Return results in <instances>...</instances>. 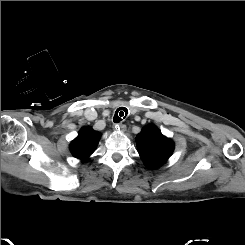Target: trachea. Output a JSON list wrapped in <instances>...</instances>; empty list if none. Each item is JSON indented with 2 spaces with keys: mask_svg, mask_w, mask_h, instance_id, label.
I'll use <instances>...</instances> for the list:
<instances>
[{
  "mask_svg": "<svg viewBox=\"0 0 245 245\" xmlns=\"http://www.w3.org/2000/svg\"><path fill=\"white\" fill-rule=\"evenodd\" d=\"M128 115V110L125 107H120L116 110L115 115L113 117V121L115 123H119L123 119H125Z\"/></svg>",
  "mask_w": 245,
  "mask_h": 245,
  "instance_id": "3493384b",
  "label": "trachea"
}]
</instances>
